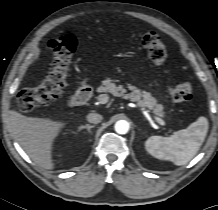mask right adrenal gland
I'll return each mask as SVG.
<instances>
[{"label":"right adrenal gland","mask_w":218,"mask_h":210,"mask_svg":"<svg viewBox=\"0 0 218 210\" xmlns=\"http://www.w3.org/2000/svg\"><path fill=\"white\" fill-rule=\"evenodd\" d=\"M92 128H94V126H92V125H85V126L81 127V129H87L89 133L91 132Z\"/></svg>","instance_id":"right-adrenal-gland-1"}]
</instances>
